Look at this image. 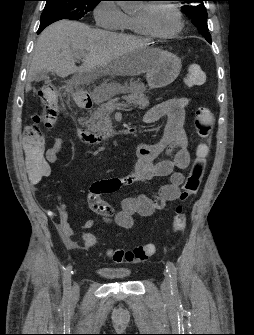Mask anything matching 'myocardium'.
<instances>
[{"label": "myocardium", "instance_id": "obj_1", "mask_svg": "<svg viewBox=\"0 0 254 335\" xmlns=\"http://www.w3.org/2000/svg\"><path fill=\"white\" fill-rule=\"evenodd\" d=\"M155 5H166L169 8H171L173 10V12L176 15L177 18V26L176 28L169 32V33H159L156 32L154 30H152L148 24L145 22V20H143L142 18H139L137 16H135L136 22L138 24V26L140 27V29L143 31L144 34L151 36L153 38H158V39H171L176 37L184 28V21H183V17H182V13L180 11V9L178 8L177 5H175L172 2H166V1H160V2H153V3H149V4H144V6L146 8H152Z\"/></svg>", "mask_w": 254, "mask_h": 335}]
</instances>
